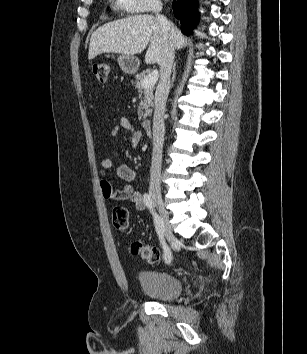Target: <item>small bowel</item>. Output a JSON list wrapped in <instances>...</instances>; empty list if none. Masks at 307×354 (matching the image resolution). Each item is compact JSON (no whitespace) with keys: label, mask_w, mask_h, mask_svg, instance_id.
<instances>
[{"label":"small bowel","mask_w":307,"mask_h":354,"mask_svg":"<svg viewBox=\"0 0 307 354\" xmlns=\"http://www.w3.org/2000/svg\"><path fill=\"white\" fill-rule=\"evenodd\" d=\"M122 131H127L130 133L131 144L134 146L140 142L142 139V133L139 129H136L131 124L130 120L127 118H122L119 123L114 125L110 132L109 136L111 138L117 137ZM112 168V161L110 159H104L101 162V172L105 174ZM115 173L117 177L127 182V184L116 189L113 182L109 178H102L100 181V186L102 194L105 199L116 200V201H130L133 203L136 209L144 210L146 204L144 202L142 192L136 189L132 183L136 177L137 173L128 165H119Z\"/></svg>","instance_id":"1"}]
</instances>
